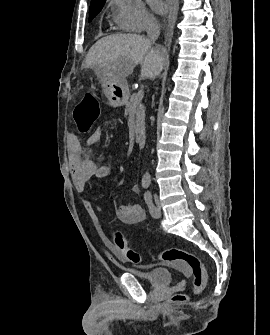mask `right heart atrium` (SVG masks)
<instances>
[{"label": "right heart atrium", "instance_id": "d8ad5b80", "mask_svg": "<svg viewBox=\"0 0 270 335\" xmlns=\"http://www.w3.org/2000/svg\"><path fill=\"white\" fill-rule=\"evenodd\" d=\"M115 22L126 31L140 33L141 25H158L155 17L140 0H112Z\"/></svg>", "mask_w": 270, "mask_h": 335}]
</instances>
